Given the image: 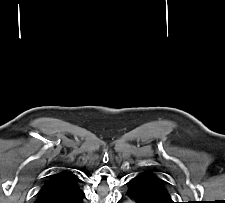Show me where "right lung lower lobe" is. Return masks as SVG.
I'll return each instance as SVG.
<instances>
[{
    "instance_id": "1",
    "label": "right lung lower lobe",
    "mask_w": 225,
    "mask_h": 203,
    "mask_svg": "<svg viewBox=\"0 0 225 203\" xmlns=\"http://www.w3.org/2000/svg\"><path fill=\"white\" fill-rule=\"evenodd\" d=\"M84 198H85V194L83 191H81L77 195L70 198H56V199L53 198V200H49L50 198H42L40 199L39 202L37 201L36 202L37 203H83Z\"/></svg>"
}]
</instances>
